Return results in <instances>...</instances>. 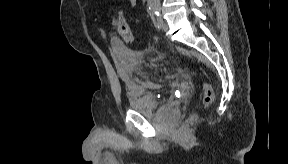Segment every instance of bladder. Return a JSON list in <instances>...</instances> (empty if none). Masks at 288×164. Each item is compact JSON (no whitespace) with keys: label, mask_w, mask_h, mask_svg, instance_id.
<instances>
[{"label":"bladder","mask_w":288,"mask_h":164,"mask_svg":"<svg viewBox=\"0 0 288 164\" xmlns=\"http://www.w3.org/2000/svg\"><path fill=\"white\" fill-rule=\"evenodd\" d=\"M111 49L119 66L128 72H133L141 61L140 56L131 50L123 41L112 38ZM160 98L157 91L151 87H135L129 98V109L152 114L159 106Z\"/></svg>","instance_id":"bladder-1"}]
</instances>
